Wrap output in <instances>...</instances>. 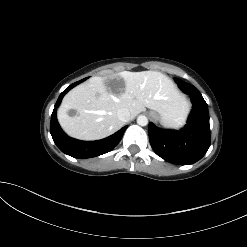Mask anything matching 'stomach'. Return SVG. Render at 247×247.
Instances as JSON below:
<instances>
[{"instance_id": "1", "label": "stomach", "mask_w": 247, "mask_h": 247, "mask_svg": "<svg viewBox=\"0 0 247 247\" xmlns=\"http://www.w3.org/2000/svg\"><path fill=\"white\" fill-rule=\"evenodd\" d=\"M151 116H152L154 119H156V120L162 122L161 117H160L159 115H157L156 113L151 112ZM164 125H166V126H171V125H167V124H164Z\"/></svg>"}]
</instances>
